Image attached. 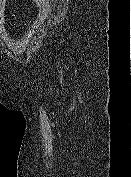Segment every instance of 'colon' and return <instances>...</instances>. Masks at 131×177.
Listing matches in <instances>:
<instances>
[{
	"label": "colon",
	"mask_w": 131,
	"mask_h": 177,
	"mask_svg": "<svg viewBox=\"0 0 131 177\" xmlns=\"http://www.w3.org/2000/svg\"><path fill=\"white\" fill-rule=\"evenodd\" d=\"M22 16H24V14H22ZM13 18H14V20H16L18 17H17V15H14Z\"/></svg>",
	"instance_id": "5ec220e1"
}]
</instances>
